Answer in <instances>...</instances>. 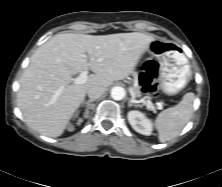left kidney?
<instances>
[{
  "instance_id": "1",
  "label": "left kidney",
  "mask_w": 222,
  "mask_h": 187,
  "mask_svg": "<svg viewBox=\"0 0 222 187\" xmlns=\"http://www.w3.org/2000/svg\"><path fill=\"white\" fill-rule=\"evenodd\" d=\"M127 118L130 125L136 132L146 136L151 135L153 130L152 123L143 113L137 110H132L128 112Z\"/></svg>"
}]
</instances>
